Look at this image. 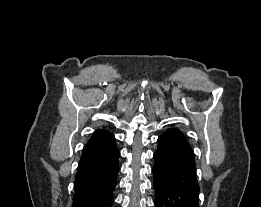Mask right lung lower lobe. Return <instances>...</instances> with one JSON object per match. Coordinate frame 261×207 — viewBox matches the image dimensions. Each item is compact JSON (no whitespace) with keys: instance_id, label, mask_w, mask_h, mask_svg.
<instances>
[{"instance_id":"1","label":"right lung lower lobe","mask_w":261,"mask_h":207,"mask_svg":"<svg viewBox=\"0 0 261 207\" xmlns=\"http://www.w3.org/2000/svg\"><path fill=\"white\" fill-rule=\"evenodd\" d=\"M115 137L83 148L75 177L73 207H111L119 171Z\"/></svg>"}]
</instances>
